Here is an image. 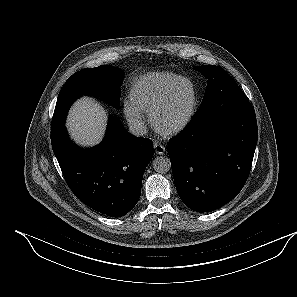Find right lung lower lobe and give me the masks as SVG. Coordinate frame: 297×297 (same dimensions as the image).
Wrapping results in <instances>:
<instances>
[{"mask_svg":"<svg viewBox=\"0 0 297 297\" xmlns=\"http://www.w3.org/2000/svg\"><path fill=\"white\" fill-rule=\"evenodd\" d=\"M64 124L51 142L71 191L97 212L127 214L140 198L143 174L154 154L152 142L129 134L112 116L103 141L81 149L70 141Z\"/></svg>","mask_w":297,"mask_h":297,"instance_id":"1","label":"right lung lower lobe"}]
</instances>
